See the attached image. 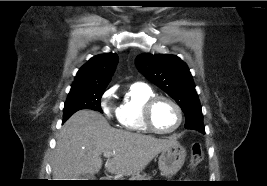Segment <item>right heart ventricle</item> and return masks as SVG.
Wrapping results in <instances>:
<instances>
[{"mask_svg":"<svg viewBox=\"0 0 267 186\" xmlns=\"http://www.w3.org/2000/svg\"><path fill=\"white\" fill-rule=\"evenodd\" d=\"M153 95L155 92L148 85L133 84L116 110L119 127L129 132H149L142 119V110L144 103Z\"/></svg>","mask_w":267,"mask_h":186,"instance_id":"e07e8e85","label":"right heart ventricle"}]
</instances>
